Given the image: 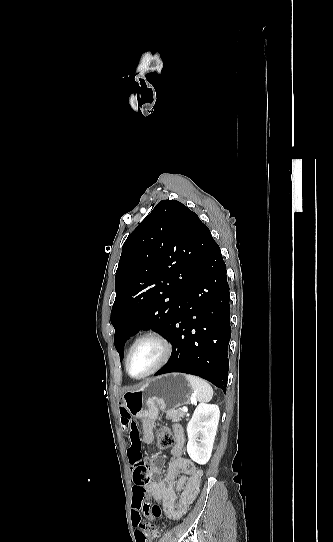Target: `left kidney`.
Masks as SVG:
<instances>
[{
  "mask_svg": "<svg viewBox=\"0 0 333 542\" xmlns=\"http://www.w3.org/2000/svg\"><path fill=\"white\" fill-rule=\"evenodd\" d=\"M220 418L215 404H199L187 426V452L196 464H207L211 458L213 444Z\"/></svg>",
  "mask_w": 333,
  "mask_h": 542,
  "instance_id": "obj_1",
  "label": "left kidney"
}]
</instances>
